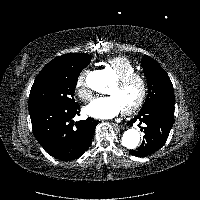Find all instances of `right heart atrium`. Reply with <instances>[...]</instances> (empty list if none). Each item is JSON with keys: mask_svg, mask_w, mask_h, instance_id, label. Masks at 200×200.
<instances>
[{"mask_svg": "<svg viewBox=\"0 0 200 200\" xmlns=\"http://www.w3.org/2000/svg\"><path fill=\"white\" fill-rule=\"evenodd\" d=\"M75 92L77 96L85 101L92 98V90L87 82V71H81L75 80Z\"/></svg>", "mask_w": 200, "mask_h": 200, "instance_id": "right-heart-atrium-1", "label": "right heart atrium"}]
</instances>
